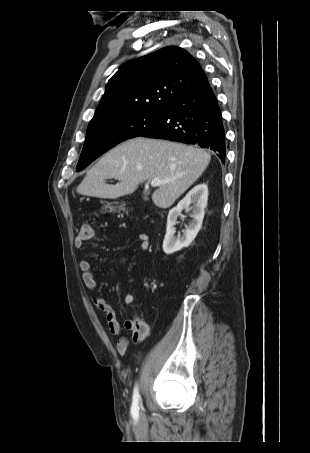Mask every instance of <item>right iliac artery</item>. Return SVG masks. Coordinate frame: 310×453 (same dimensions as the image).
Segmentation results:
<instances>
[{"label":"right iliac artery","mask_w":310,"mask_h":453,"mask_svg":"<svg viewBox=\"0 0 310 453\" xmlns=\"http://www.w3.org/2000/svg\"><path fill=\"white\" fill-rule=\"evenodd\" d=\"M139 398H140V395H139V392H138V388L136 387L134 389V393H133V402H132V407H131V412H132V415L133 416H137L138 415V410H139Z\"/></svg>","instance_id":"82829eb1"}]
</instances>
